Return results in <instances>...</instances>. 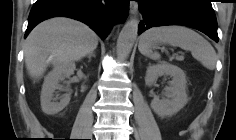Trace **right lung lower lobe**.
Returning a JSON list of instances; mask_svg holds the SVG:
<instances>
[{"instance_id": "right-lung-lower-lobe-1", "label": "right lung lower lobe", "mask_w": 236, "mask_h": 140, "mask_svg": "<svg viewBox=\"0 0 236 140\" xmlns=\"http://www.w3.org/2000/svg\"><path fill=\"white\" fill-rule=\"evenodd\" d=\"M129 0H37L30 11L25 37L41 21L70 17L89 25L105 39L112 25L127 18Z\"/></svg>"}]
</instances>
